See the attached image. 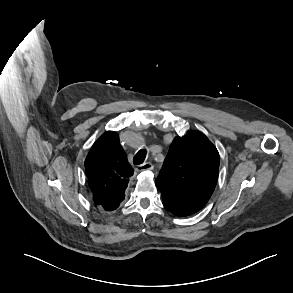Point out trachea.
<instances>
[{"label": "trachea", "mask_w": 293, "mask_h": 293, "mask_svg": "<svg viewBox=\"0 0 293 293\" xmlns=\"http://www.w3.org/2000/svg\"><path fill=\"white\" fill-rule=\"evenodd\" d=\"M146 157V151L145 150H140L133 158V163L135 165H140L144 162Z\"/></svg>", "instance_id": "1"}]
</instances>
